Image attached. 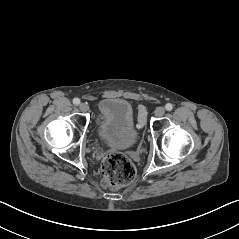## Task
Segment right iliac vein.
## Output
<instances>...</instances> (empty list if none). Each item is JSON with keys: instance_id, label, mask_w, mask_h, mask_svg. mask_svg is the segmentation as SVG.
<instances>
[{"instance_id": "1", "label": "right iliac vein", "mask_w": 239, "mask_h": 239, "mask_svg": "<svg viewBox=\"0 0 239 239\" xmlns=\"http://www.w3.org/2000/svg\"><path fill=\"white\" fill-rule=\"evenodd\" d=\"M79 109H80L81 112H86L88 110V105L85 104V103H81L79 105Z\"/></svg>"}]
</instances>
